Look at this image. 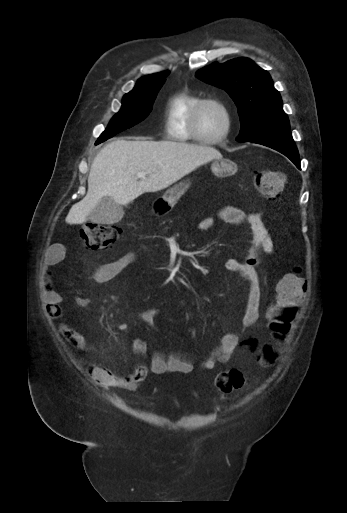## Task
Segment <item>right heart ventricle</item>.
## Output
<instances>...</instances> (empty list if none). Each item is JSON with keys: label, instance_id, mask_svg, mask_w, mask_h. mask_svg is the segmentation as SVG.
Returning <instances> with one entry per match:
<instances>
[{"label": "right heart ventricle", "instance_id": "right-heart-ventricle-1", "mask_svg": "<svg viewBox=\"0 0 347 513\" xmlns=\"http://www.w3.org/2000/svg\"><path fill=\"white\" fill-rule=\"evenodd\" d=\"M202 97L191 91L175 93L168 101L165 130L170 140L180 143H201L190 131L191 114Z\"/></svg>", "mask_w": 347, "mask_h": 513}]
</instances>
